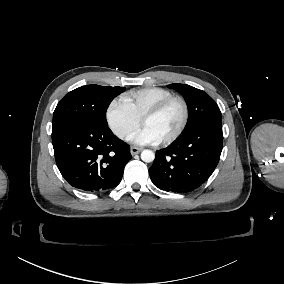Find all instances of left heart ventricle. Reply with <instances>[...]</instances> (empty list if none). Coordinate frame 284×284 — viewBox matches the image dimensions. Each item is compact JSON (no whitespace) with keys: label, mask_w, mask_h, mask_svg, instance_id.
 <instances>
[{"label":"left heart ventricle","mask_w":284,"mask_h":284,"mask_svg":"<svg viewBox=\"0 0 284 284\" xmlns=\"http://www.w3.org/2000/svg\"><path fill=\"white\" fill-rule=\"evenodd\" d=\"M182 117V105L175 102L160 115L141 121L143 127L149 128L159 141L166 139L178 127Z\"/></svg>","instance_id":"obj_1"}]
</instances>
